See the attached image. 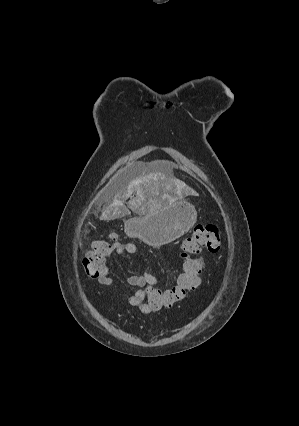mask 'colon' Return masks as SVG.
Instances as JSON below:
<instances>
[{"mask_svg":"<svg viewBox=\"0 0 299 426\" xmlns=\"http://www.w3.org/2000/svg\"><path fill=\"white\" fill-rule=\"evenodd\" d=\"M113 239V238H112ZM113 241L96 240L91 249L83 256L82 265L90 277H98L106 264ZM183 267L175 285L164 288L160 285H148L145 299L155 310L169 309L183 301L189 292L200 284L201 267L196 256L203 251L216 253L220 249V233L214 224H197L192 234L182 242Z\"/></svg>","mask_w":299,"mask_h":426,"instance_id":"obj_1","label":"colon"}]
</instances>
